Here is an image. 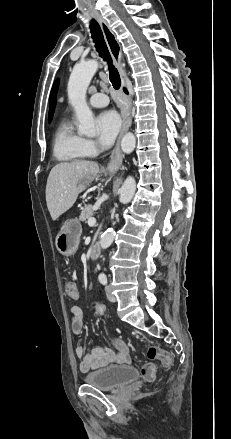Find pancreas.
I'll use <instances>...</instances> for the list:
<instances>
[{"label": "pancreas", "instance_id": "pancreas-1", "mask_svg": "<svg viewBox=\"0 0 231 439\" xmlns=\"http://www.w3.org/2000/svg\"><path fill=\"white\" fill-rule=\"evenodd\" d=\"M94 215V209L92 205H88L82 209L81 214L79 216V220L83 222H87L89 218Z\"/></svg>", "mask_w": 231, "mask_h": 439}]
</instances>
